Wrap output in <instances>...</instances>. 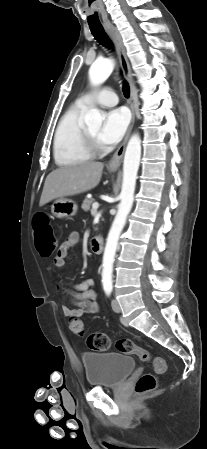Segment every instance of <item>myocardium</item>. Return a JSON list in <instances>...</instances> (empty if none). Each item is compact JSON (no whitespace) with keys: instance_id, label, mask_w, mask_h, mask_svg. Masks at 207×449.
I'll use <instances>...</instances> for the list:
<instances>
[{"instance_id":"f54148a6","label":"myocardium","mask_w":207,"mask_h":449,"mask_svg":"<svg viewBox=\"0 0 207 449\" xmlns=\"http://www.w3.org/2000/svg\"><path fill=\"white\" fill-rule=\"evenodd\" d=\"M82 143L84 148L91 154L96 155L101 153L104 148L100 141L90 135L86 128L82 127Z\"/></svg>"}]
</instances>
